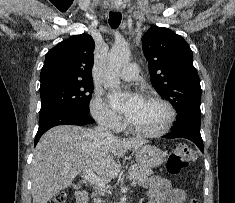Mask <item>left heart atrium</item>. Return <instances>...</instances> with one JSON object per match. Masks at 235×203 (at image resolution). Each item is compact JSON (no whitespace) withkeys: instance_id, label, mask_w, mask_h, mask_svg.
I'll list each match as a JSON object with an SVG mask.
<instances>
[{"instance_id":"left-heart-atrium-1","label":"left heart atrium","mask_w":235,"mask_h":203,"mask_svg":"<svg viewBox=\"0 0 235 203\" xmlns=\"http://www.w3.org/2000/svg\"><path fill=\"white\" fill-rule=\"evenodd\" d=\"M110 101L115 108L123 112L129 119L139 108L144 98L139 94L113 93L110 95Z\"/></svg>"}]
</instances>
